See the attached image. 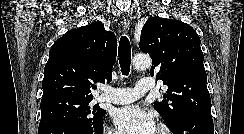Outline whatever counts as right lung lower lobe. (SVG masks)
Masks as SVG:
<instances>
[{
	"label": "right lung lower lobe",
	"mask_w": 244,
	"mask_h": 134,
	"mask_svg": "<svg viewBox=\"0 0 244 134\" xmlns=\"http://www.w3.org/2000/svg\"><path fill=\"white\" fill-rule=\"evenodd\" d=\"M42 134H103V122L95 125L60 124L46 129Z\"/></svg>",
	"instance_id": "obj_1"
}]
</instances>
